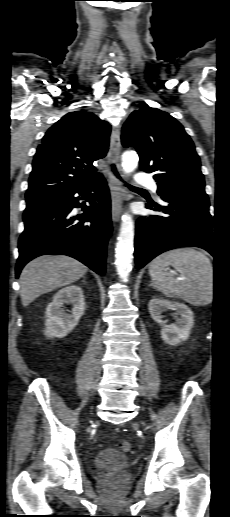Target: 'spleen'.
<instances>
[{"label": "spleen", "mask_w": 230, "mask_h": 517, "mask_svg": "<svg viewBox=\"0 0 230 517\" xmlns=\"http://www.w3.org/2000/svg\"><path fill=\"white\" fill-rule=\"evenodd\" d=\"M182 274L176 279L167 267ZM154 287L169 298H180L195 305H206L213 299V266L203 253L191 248H179L156 257L149 265Z\"/></svg>", "instance_id": "obj_1"}]
</instances>
